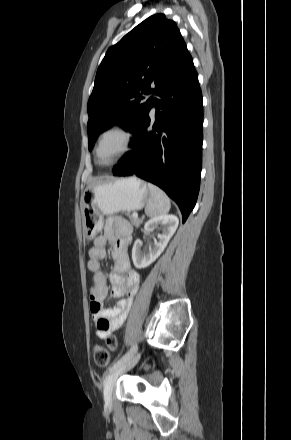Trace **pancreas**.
<instances>
[{"label":"pancreas","mask_w":291,"mask_h":440,"mask_svg":"<svg viewBox=\"0 0 291 440\" xmlns=\"http://www.w3.org/2000/svg\"><path fill=\"white\" fill-rule=\"evenodd\" d=\"M127 217L130 219L131 223L135 226V227H139L143 220L139 219V218H135L133 217L130 213H127Z\"/></svg>","instance_id":"1"}]
</instances>
